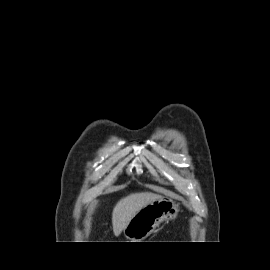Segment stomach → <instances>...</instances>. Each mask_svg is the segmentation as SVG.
<instances>
[{
	"label": "stomach",
	"mask_w": 270,
	"mask_h": 270,
	"mask_svg": "<svg viewBox=\"0 0 270 270\" xmlns=\"http://www.w3.org/2000/svg\"><path fill=\"white\" fill-rule=\"evenodd\" d=\"M178 206L171 200L161 197L140 209L123 230L131 242H141L148 237L163 221L176 218Z\"/></svg>",
	"instance_id": "1"
}]
</instances>
